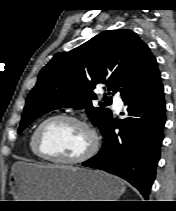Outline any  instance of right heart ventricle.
I'll use <instances>...</instances> for the list:
<instances>
[{"label":"right heart ventricle","mask_w":176,"mask_h":211,"mask_svg":"<svg viewBox=\"0 0 176 211\" xmlns=\"http://www.w3.org/2000/svg\"><path fill=\"white\" fill-rule=\"evenodd\" d=\"M34 132H35V130H34V131L31 133V135H30V138H29V147H30V150H31L32 154H33L35 157L41 158V157L37 154V152H36V150H35V148H34V141H33Z\"/></svg>","instance_id":"right-heart-ventricle-1"}]
</instances>
